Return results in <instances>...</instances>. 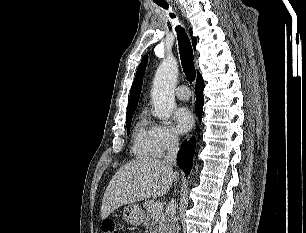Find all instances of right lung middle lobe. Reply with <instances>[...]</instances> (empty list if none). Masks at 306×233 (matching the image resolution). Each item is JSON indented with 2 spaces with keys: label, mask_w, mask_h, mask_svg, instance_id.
I'll use <instances>...</instances> for the list:
<instances>
[{
  "label": "right lung middle lobe",
  "mask_w": 306,
  "mask_h": 233,
  "mask_svg": "<svg viewBox=\"0 0 306 233\" xmlns=\"http://www.w3.org/2000/svg\"><path fill=\"white\" fill-rule=\"evenodd\" d=\"M134 113L127 115V119H126V126H127V134L130 131V125H131V120H132V116Z\"/></svg>",
  "instance_id": "1"
}]
</instances>
